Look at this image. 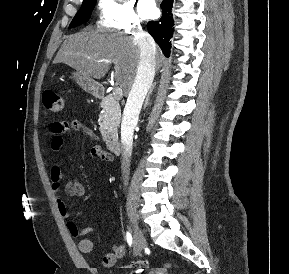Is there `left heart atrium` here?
Instances as JSON below:
<instances>
[{
    "instance_id": "left-heart-atrium-1",
    "label": "left heart atrium",
    "mask_w": 289,
    "mask_h": 274,
    "mask_svg": "<svg viewBox=\"0 0 289 274\" xmlns=\"http://www.w3.org/2000/svg\"><path fill=\"white\" fill-rule=\"evenodd\" d=\"M138 10L142 17L153 18L157 14L155 0H139Z\"/></svg>"
}]
</instances>
